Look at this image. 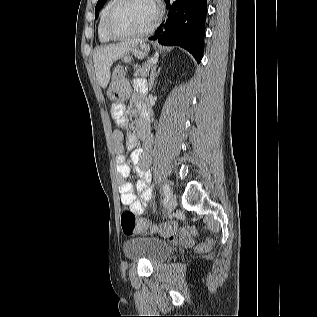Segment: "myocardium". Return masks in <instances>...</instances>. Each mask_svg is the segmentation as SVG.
Segmentation results:
<instances>
[{
	"instance_id": "myocardium-1",
	"label": "myocardium",
	"mask_w": 317,
	"mask_h": 317,
	"mask_svg": "<svg viewBox=\"0 0 317 317\" xmlns=\"http://www.w3.org/2000/svg\"><path fill=\"white\" fill-rule=\"evenodd\" d=\"M125 0H114V3L112 4V6L110 7V9L107 12L106 18H105V31L107 33V35L112 38V39H131V38H138V37H142L145 35H148L149 33H151L156 26L158 25L160 18H161V10L156 2V0H149L152 5L154 6V10H155V14L154 17L151 21V23L143 30L136 32V33H131V34H119L116 33L112 27H111V22H112V18L116 12V10L118 9V7L124 2Z\"/></svg>"
}]
</instances>
